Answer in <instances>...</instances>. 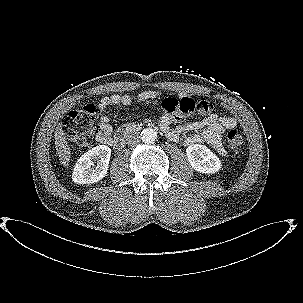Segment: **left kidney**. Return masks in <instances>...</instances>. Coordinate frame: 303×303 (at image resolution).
Returning <instances> with one entry per match:
<instances>
[{
  "label": "left kidney",
  "instance_id": "left-kidney-1",
  "mask_svg": "<svg viewBox=\"0 0 303 303\" xmlns=\"http://www.w3.org/2000/svg\"><path fill=\"white\" fill-rule=\"evenodd\" d=\"M187 159L192 168L200 173L213 174L218 172L222 163L208 147L201 144H192L186 148Z\"/></svg>",
  "mask_w": 303,
  "mask_h": 303
}]
</instances>
